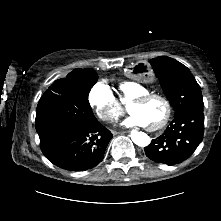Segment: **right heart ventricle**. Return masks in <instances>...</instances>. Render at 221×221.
Instances as JSON below:
<instances>
[{
    "instance_id": "obj_1",
    "label": "right heart ventricle",
    "mask_w": 221,
    "mask_h": 221,
    "mask_svg": "<svg viewBox=\"0 0 221 221\" xmlns=\"http://www.w3.org/2000/svg\"><path fill=\"white\" fill-rule=\"evenodd\" d=\"M119 99L123 103L131 102L136 97L150 93V90L137 81L127 80L118 84Z\"/></svg>"
}]
</instances>
